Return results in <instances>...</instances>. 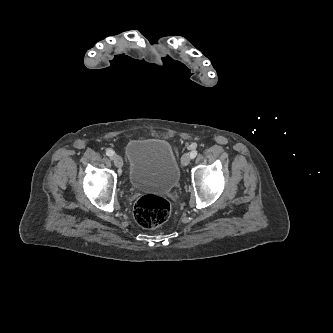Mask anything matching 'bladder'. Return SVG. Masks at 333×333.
Here are the masks:
<instances>
[{"mask_svg":"<svg viewBox=\"0 0 333 333\" xmlns=\"http://www.w3.org/2000/svg\"><path fill=\"white\" fill-rule=\"evenodd\" d=\"M128 179L141 191L167 193L180 179L171 145L163 139L132 140L126 146Z\"/></svg>","mask_w":333,"mask_h":333,"instance_id":"31cf9c89","label":"bladder"}]
</instances>
